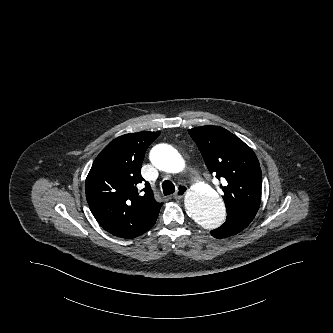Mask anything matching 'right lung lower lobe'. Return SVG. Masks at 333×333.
I'll return each instance as SVG.
<instances>
[{"instance_id": "98d812e1", "label": "right lung lower lobe", "mask_w": 333, "mask_h": 333, "mask_svg": "<svg viewBox=\"0 0 333 333\" xmlns=\"http://www.w3.org/2000/svg\"><path fill=\"white\" fill-rule=\"evenodd\" d=\"M156 219H157V218H155L154 220H152V221L149 223V225L147 226L145 232H146L147 230H149V229L155 224Z\"/></svg>"}]
</instances>
